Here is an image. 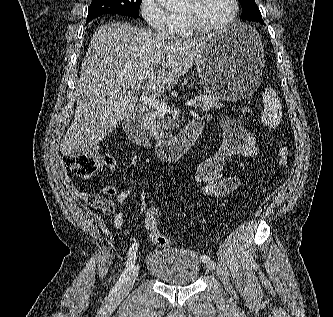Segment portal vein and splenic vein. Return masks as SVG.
Wrapping results in <instances>:
<instances>
[{
  "label": "portal vein and splenic vein",
  "instance_id": "18ae733b",
  "mask_svg": "<svg viewBox=\"0 0 333 317\" xmlns=\"http://www.w3.org/2000/svg\"><path fill=\"white\" fill-rule=\"evenodd\" d=\"M139 100L144 103L145 105H148L149 107L155 108L156 110L166 114L170 112V107L163 101L157 100L155 98L141 95L139 97ZM201 100V97H196L193 100H189L185 103L186 106H193L197 103V101Z\"/></svg>",
  "mask_w": 333,
  "mask_h": 317
}]
</instances>
